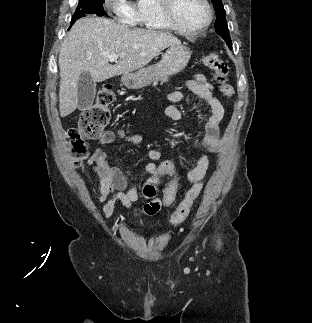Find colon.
Returning a JSON list of instances; mask_svg holds the SVG:
<instances>
[{"label":"colon","instance_id":"obj_1","mask_svg":"<svg viewBox=\"0 0 312 323\" xmlns=\"http://www.w3.org/2000/svg\"><path fill=\"white\" fill-rule=\"evenodd\" d=\"M205 67L211 69L216 75V82L221 94L231 99L234 95L233 86L226 80L229 68L226 61L217 54H209L202 60ZM114 103V94L107 82H105L97 92L95 100L89 106L83 109L78 117L77 126L68 130V140L71 143V153L73 158H88L87 140H96L97 142L106 144L111 141L114 131L109 129L111 120V111ZM70 168H79V161H70ZM174 160H165L159 164L156 173L162 175L165 172H173L175 170ZM143 182L144 194L152 198V200L144 206V212L147 215H153L161 208L158 199H154L156 189L154 184L158 182L156 177H145ZM176 182L171 180L166 186L165 194L162 199L163 204H173L176 197ZM203 184H192L188 189L181 202L179 210H172L171 216L174 217L172 223L178 224L182 217H189L190 207L203 191Z\"/></svg>","mask_w":312,"mask_h":323}]
</instances>
